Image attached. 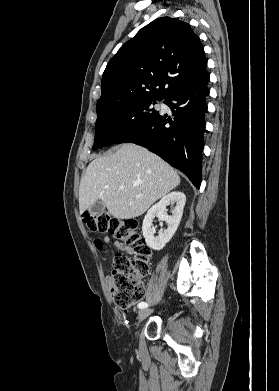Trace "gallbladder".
<instances>
[{
  "instance_id": "1",
  "label": "gallbladder",
  "mask_w": 279,
  "mask_h": 391,
  "mask_svg": "<svg viewBox=\"0 0 279 391\" xmlns=\"http://www.w3.org/2000/svg\"><path fill=\"white\" fill-rule=\"evenodd\" d=\"M105 210V205L102 201H97L89 208V213L93 216L100 215Z\"/></svg>"
}]
</instances>
